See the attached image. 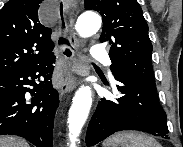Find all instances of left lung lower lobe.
Masks as SVG:
<instances>
[{
  "instance_id": "1",
  "label": "left lung lower lobe",
  "mask_w": 183,
  "mask_h": 147,
  "mask_svg": "<svg viewBox=\"0 0 183 147\" xmlns=\"http://www.w3.org/2000/svg\"><path fill=\"white\" fill-rule=\"evenodd\" d=\"M122 95L114 101H99L89 122L86 144L93 146L115 132L137 130L169 138L166 113L157 95L155 80L127 71L113 74Z\"/></svg>"
}]
</instances>
